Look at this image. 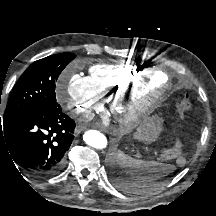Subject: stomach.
I'll return each mask as SVG.
<instances>
[{"instance_id":"0dacf381","label":"stomach","mask_w":216,"mask_h":216,"mask_svg":"<svg viewBox=\"0 0 216 216\" xmlns=\"http://www.w3.org/2000/svg\"><path fill=\"white\" fill-rule=\"evenodd\" d=\"M161 130L162 119L159 116L154 115L144 119L141 122L137 132L135 133V137L147 142H151L156 140Z\"/></svg>"}]
</instances>
